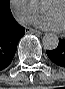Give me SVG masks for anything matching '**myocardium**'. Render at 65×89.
Instances as JSON below:
<instances>
[{
    "label": "myocardium",
    "instance_id": "myocardium-1",
    "mask_svg": "<svg viewBox=\"0 0 65 89\" xmlns=\"http://www.w3.org/2000/svg\"><path fill=\"white\" fill-rule=\"evenodd\" d=\"M52 3H61L65 7V1L64 0H53Z\"/></svg>",
    "mask_w": 65,
    "mask_h": 89
}]
</instances>
